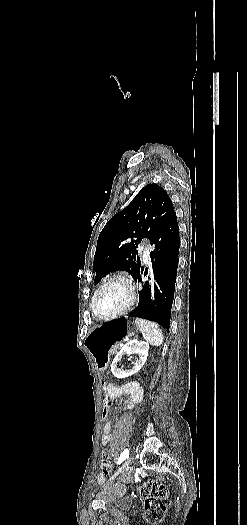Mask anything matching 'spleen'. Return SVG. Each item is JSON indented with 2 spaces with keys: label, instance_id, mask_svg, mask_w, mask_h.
Segmentation results:
<instances>
[{
  "label": "spleen",
  "instance_id": "obj_1",
  "mask_svg": "<svg viewBox=\"0 0 247 525\" xmlns=\"http://www.w3.org/2000/svg\"><path fill=\"white\" fill-rule=\"evenodd\" d=\"M135 323L138 325L144 339L150 345H155V347L162 345L163 335L161 329H158L159 325L157 323H151V321H146V319H136Z\"/></svg>",
  "mask_w": 247,
  "mask_h": 525
}]
</instances>
